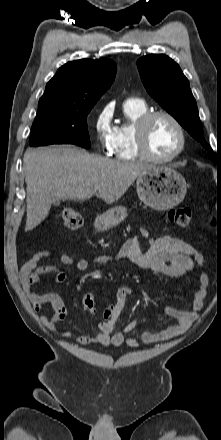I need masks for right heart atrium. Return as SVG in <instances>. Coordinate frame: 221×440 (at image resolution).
Instances as JSON below:
<instances>
[{
    "mask_svg": "<svg viewBox=\"0 0 221 440\" xmlns=\"http://www.w3.org/2000/svg\"><path fill=\"white\" fill-rule=\"evenodd\" d=\"M95 139L103 151H111L115 127L112 124V108L103 107L95 116L93 123Z\"/></svg>",
    "mask_w": 221,
    "mask_h": 440,
    "instance_id": "1",
    "label": "right heart atrium"
}]
</instances>
